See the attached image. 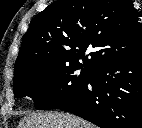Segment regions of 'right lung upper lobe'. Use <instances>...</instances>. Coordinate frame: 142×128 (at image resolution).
<instances>
[{"label":"right lung upper lobe","mask_w":142,"mask_h":128,"mask_svg":"<svg viewBox=\"0 0 142 128\" xmlns=\"http://www.w3.org/2000/svg\"><path fill=\"white\" fill-rule=\"evenodd\" d=\"M87 49H93L90 59L84 56ZM141 49L138 14L129 0H59L32 19L14 77L41 64L93 70Z\"/></svg>","instance_id":"right-lung-upper-lobe-1"}]
</instances>
